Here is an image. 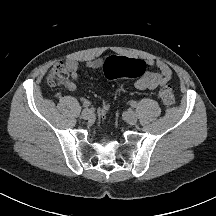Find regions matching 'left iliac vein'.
I'll use <instances>...</instances> for the list:
<instances>
[{
    "mask_svg": "<svg viewBox=\"0 0 216 216\" xmlns=\"http://www.w3.org/2000/svg\"><path fill=\"white\" fill-rule=\"evenodd\" d=\"M124 118L127 123L134 125L137 123V115L134 111H127L124 113Z\"/></svg>",
    "mask_w": 216,
    "mask_h": 216,
    "instance_id": "1",
    "label": "left iliac vein"
}]
</instances>
